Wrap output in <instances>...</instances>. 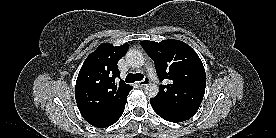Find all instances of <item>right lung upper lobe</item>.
<instances>
[{
    "mask_svg": "<svg viewBox=\"0 0 276 138\" xmlns=\"http://www.w3.org/2000/svg\"><path fill=\"white\" fill-rule=\"evenodd\" d=\"M129 44L115 47L101 44L84 61L77 77L75 99L83 118L91 125L105 128L123 114L132 86L120 78L117 62L125 55Z\"/></svg>",
    "mask_w": 276,
    "mask_h": 138,
    "instance_id": "cb5924a9",
    "label": "right lung upper lobe"
}]
</instances>
